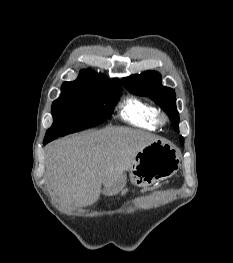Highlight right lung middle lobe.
Instances as JSON below:
<instances>
[{"instance_id": "right-lung-middle-lobe-1", "label": "right lung middle lobe", "mask_w": 233, "mask_h": 263, "mask_svg": "<svg viewBox=\"0 0 233 263\" xmlns=\"http://www.w3.org/2000/svg\"><path fill=\"white\" fill-rule=\"evenodd\" d=\"M122 88L95 95L61 96L52 104L53 125L44 140L52 141L85 128L101 124L112 115Z\"/></svg>"}]
</instances>
